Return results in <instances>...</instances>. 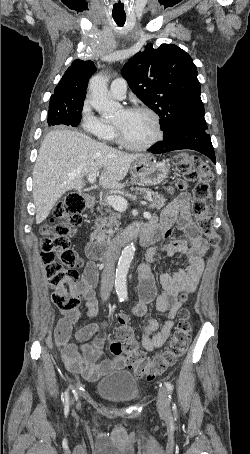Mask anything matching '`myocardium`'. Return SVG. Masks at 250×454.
<instances>
[{
    "label": "myocardium",
    "instance_id": "1",
    "mask_svg": "<svg viewBox=\"0 0 250 454\" xmlns=\"http://www.w3.org/2000/svg\"><path fill=\"white\" fill-rule=\"evenodd\" d=\"M126 112H145L149 114L155 124V135L154 137L148 141L147 143L143 145H134L130 143L124 136L121 128L117 124H113L115 135L117 141L125 148L132 150V151H146L153 146H155L157 143H159L163 139V129H162V124L159 115L151 108L143 105H135L131 107H127L124 109Z\"/></svg>",
    "mask_w": 250,
    "mask_h": 454
}]
</instances>
